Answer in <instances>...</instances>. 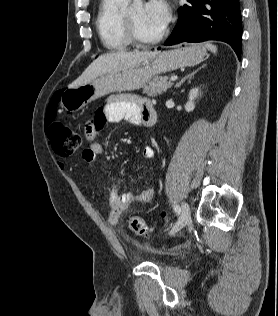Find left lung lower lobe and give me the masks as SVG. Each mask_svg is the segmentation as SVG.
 I'll return each instance as SVG.
<instances>
[{"mask_svg":"<svg viewBox=\"0 0 278 316\" xmlns=\"http://www.w3.org/2000/svg\"><path fill=\"white\" fill-rule=\"evenodd\" d=\"M187 1L191 5L179 8L178 24L164 45L219 40L228 43L240 59L242 26L239 0Z\"/></svg>","mask_w":278,"mask_h":316,"instance_id":"0a47b994","label":"left lung lower lobe"}]
</instances>
